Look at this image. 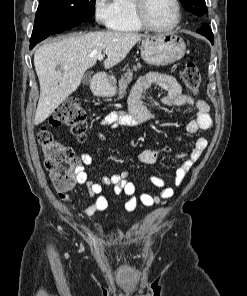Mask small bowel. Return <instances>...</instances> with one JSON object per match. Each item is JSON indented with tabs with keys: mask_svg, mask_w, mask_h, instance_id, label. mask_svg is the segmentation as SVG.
Returning <instances> with one entry per match:
<instances>
[{
	"mask_svg": "<svg viewBox=\"0 0 247 296\" xmlns=\"http://www.w3.org/2000/svg\"><path fill=\"white\" fill-rule=\"evenodd\" d=\"M161 87L165 94L161 98V103L167 107L175 108L185 105L193 106L196 109L194 118L186 123V130L190 134H196L203 130H208L212 126L209 105L202 101L196 100L192 96L185 94L179 82L168 75L157 73H148L142 76L134 85L129 99V112H113L106 115L102 121V126L116 127H136L151 121L154 115L145 107L143 100L146 93L153 87ZM101 140H105L102 133H99ZM208 146V140L205 137H198L194 143L192 151L184 157L181 165L174 174L173 182L175 186L181 185L187 173L199 159ZM169 148L145 149L136 154V159L142 164H154L162 152ZM93 162L92 156L88 153L80 155V164L77 172V182L84 184L88 188V202L92 200L81 213L85 216H92L97 212H104L108 208V200L102 195L103 188L112 186L114 193L120 197L125 204L128 212H133L138 205V201L145 206H154L161 200L168 199L174 195V189L167 186L164 179L152 176L149 181L160 190L159 194L141 193L136 197L135 184L128 178L127 172L113 174L102 177L100 182L90 180L85 167ZM59 197L66 202L71 208H74V201L66 192H61Z\"/></svg>",
	"mask_w": 247,
	"mask_h": 296,
	"instance_id": "obj_1",
	"label": "small bowel"
}]
</instances>
